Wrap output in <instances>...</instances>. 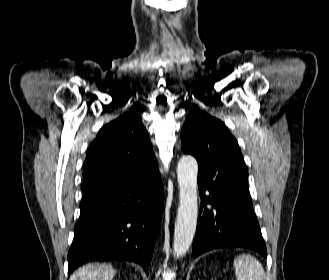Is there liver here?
I'll return each mask as SVG.
<instances>
[{
	"mask_svg": "<svg viewBox=\"0 0 329 280\" xmlns=\"http://www.w3.org/2000/svg\"><path fill=\"white\" fill-rule=\"evenodd\" d=\"M116 271L106 264H88L79 269L70 280H112Z\"/></svg>",
	"mask_w": 329,
	"mask_h": 280,
	"instance_id": "6515ba94",
	"label": "liver"
}]
</instances>
